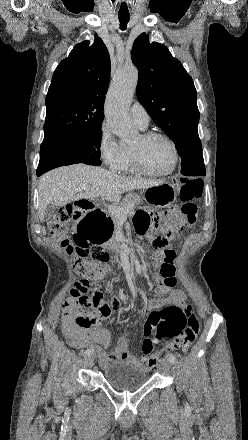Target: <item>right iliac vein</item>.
<instances>
[{"label":"right iliac vein","mask_w":248,"mask_h":440,"mask_svg":"<svg viewBox=\"0 0 248 440\" xmlns=\"http://www.w3.org/2000/svg\"><path fill=\"white\" fill-rule=\"evenodd\" d=\"M85 360L88 367H92L94 365V358L92 356H88Z\"/></svg>","instance_id":"1"}]
</instances>
